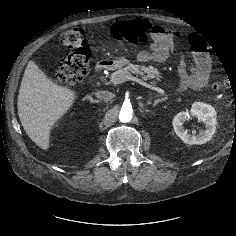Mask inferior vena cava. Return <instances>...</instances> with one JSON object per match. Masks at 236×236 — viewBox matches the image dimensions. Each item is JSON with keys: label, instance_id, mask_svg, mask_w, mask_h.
Returning a JSON list of instances; mask_svg holds the SVG:
<instances>
[{"label": "inferior vena cava", "instance_id": "obj_1", "mask_svg": "<svg viewBox=\"0 0 236 236\" xmlns=\"http://www.w3.org/2000/svg\"><path fill=\"white\" fill-rule=\"evenodd\" d=\"M96 97L104 101H109L114 97V94L109 91H97Z\"/></svg>", "mask_w": 236, "mask_h": 236}]
</instances>
